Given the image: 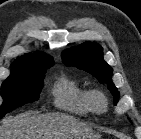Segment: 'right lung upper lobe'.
<instances>
[{
	"label": "right lung upper lobe",
	"mask_w": 141,
	"mask_h": 139,
	"mask_svg": "<svg viewBox=\"0 0 141 139\" xmlns=\"http://www.w3.org/2000/svg\"><path fill=\"white\" fill-rule=\"evenodd\" d=\"M52 58L44 53L26 54L11 64V70L53 65Z\"/></svg>",
	"instance_id": "obj_1"
}]
</instances>
